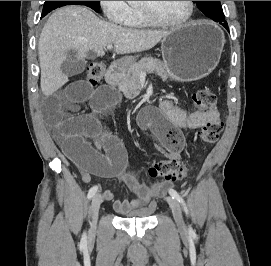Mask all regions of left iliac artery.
<instances>
[{
    "mask_svg": "<svg viewBox=\"0 0 271 266\" xmlns=\"http://www.w3.org/2000/svg\"><path fill=\"white\" fill-rule=\"evenodd\" d=\"M169 194L173 198H175L179 203L182 204V206L184 207V211L186 212V214H188V209H187L186 203H185L184 199L179 195V193L174 189H170ZM189 233L194 234V230L192 229L191 226H189Z\"/></svg>",
    "mask_w": 271,
    "mask_h": 266,
    "instance_id": "44dca946",
    "label": "left iliac artery"
}]
</instances>
